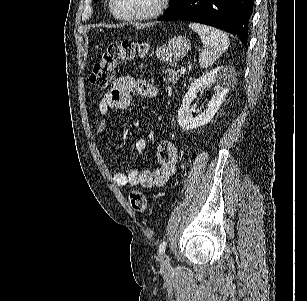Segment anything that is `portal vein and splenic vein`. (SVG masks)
<instances>
[{
    "label": "portal vein and splenic vein",
    "mask_w": 307,
    "mask_h": 301,
    "mask_svg": "<svg viewBox=\"0 0 307 301\" xmlns=\"http://www.w3.org/2000/svg\"><path fill=\"white\" fill-rule=\"evenodd\" d=\"M180 74H184V72H186V68L185 66H183V68H181V70H179Z\"/></svg>",
    "instance_id": "1"
}]
</instances>
